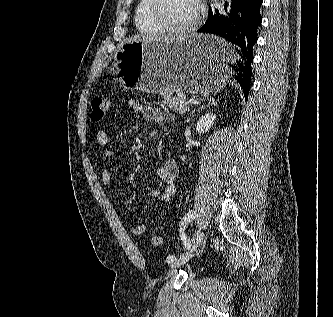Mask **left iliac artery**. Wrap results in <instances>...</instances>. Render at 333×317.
<instances>
[{
    "label": "left iliac artery",
    "mask_w": 333,
    "mask_h": 317,
    "mask_svg": "<svg viewBox=\"0 0 333 317\" xmlns=\"http://www.w3.org/2000/svg\"><path fill=\"white\" fill-rule=\"evenodd\" d=\"M195 216H196V211L190 210L184 215V217L180 221V237H181V240H182L184 246L187 249L190 248L191 243H190V240L188 239V237L186 236V234L184 233V230H185L186 226L188 225V223L195 218ZM175 260H176V257L173 255H169L166 259V261L168 263H171Z\"/></svg>",
    "instance_id": "1"
}]
</instances>
